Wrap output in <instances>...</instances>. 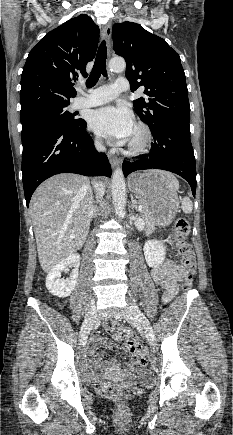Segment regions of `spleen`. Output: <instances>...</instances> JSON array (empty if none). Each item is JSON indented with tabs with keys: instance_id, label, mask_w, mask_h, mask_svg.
I'll return each instance as SVG.
<instances>
[{
	"instance_id": "spleen-1",
	"label": "spleen",
	"mask_w": 233,
	"mask_h": 435,
	"mask_svg": "<svg viewBox=\"0 0 233 435\" xmlns=\"http://www.w3.org/2000/svg\"><path fill=\"white\" fill-rule=\"evenodd\" d=\"M182 210L184 213L189 214L193 210V204L192 201L188 197H184L182 200Z\"/></svg>"
}]
</instances>
